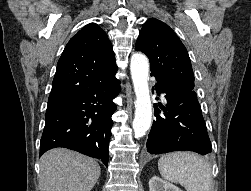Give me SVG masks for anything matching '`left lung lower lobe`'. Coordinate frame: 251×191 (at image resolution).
I'll use <instances>...</instances> for the list:
<instances>
[{
    "instance_id": "0a47b994",
    "label": "left lung lower lobe",
    "mask_w": 251,
    "mask_h": 191,
    "mask_svg": "<svg viewBox=\"0 0 251 191\" xmlns=\"http://www.w3.org/2000/svg\"><path fill=\"white\" fill-rule=\"evenodd\" d=\"M155 89L158 94H166L167 105L162 107L163 114L160 116L155 104L156 120L148 136L147 151L150 154H162L188 150L209 154L211 142L196 92L172 88L158 80Z\"/></svg>"
}]
</instances>
